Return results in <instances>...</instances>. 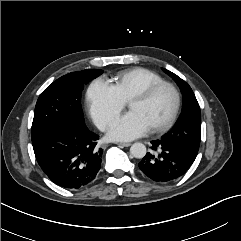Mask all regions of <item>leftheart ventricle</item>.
<instances>
[{
  "label": "left heart ventricle",
  "instance_id": "obj_1",
  "mask_svg": "<svg viewBox=\"0 0 241 241\" xmlns=\"http://www.w3.org/2000/svg\"><path fill=\"white\" fill-rule=\"evenodd\" d=\"M174 95L169 88L158 90L147 101H133L129 104L131 111H136L152 127L161 125L168 120L174 108Z\"/></svg>",
  "mask_w": 241,
  "mask_h": 241
}]
</instances>
